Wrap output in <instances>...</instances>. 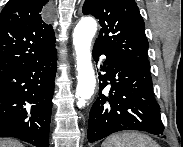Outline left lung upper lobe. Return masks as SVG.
<instances>
[{
  "instance_id": "1",
  "label": "left lung upper lobe",
  "mask_w": 183,
  "mask_h": 147,
  "mask_svg": "<svg viewBox=\"0 0 183 147\" xmlns=\"http://www.w3.org/2000/svg\"><path fill=\"white\" fill-rule=\"evenodd\" d=\"M83 14L102 27L94 46L150 71L145 24L134 0H85Z\"/></svg>"
}]
</instances>
